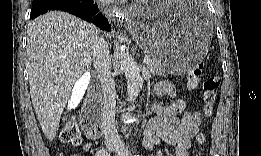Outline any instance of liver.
<instances>
[{
  "instance_id": "6515ba94",
  "label": "liver",
  "mask_w": 261,
  "mask_h": 156,
  "mask_svg": "<svg viewBox=\"0 0 261 156\" xmlns=\"http://www.w3.org/2000/svg\"><path fill=\"white\" fill-rule=\"evenodd\" d=\"M98 29L69 13L51 11L27 30V69L37 119L49 141L56 137L71 91L91 68Z\"/></svg>"
}]
</instances>
